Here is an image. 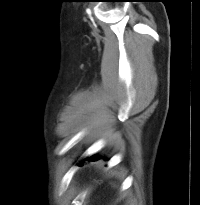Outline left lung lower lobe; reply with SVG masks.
Here are the masks:
<instances>
[{"label": "left lung lower lobe", "instance_id": "1", "mask_svg": "<svg viewBox=\"0 0 200 205\" xmlns=\"http://www.w3.org/2000/svg\"><path fill=\"white\" fill-rule=\"evenodd\" d=\"M98 158H95L94 156L88 158V161H96ZM83 164V162L79 163V165Z\"/></svg>", "mask_w": 200, "mask_h": 205}]
</instances>
